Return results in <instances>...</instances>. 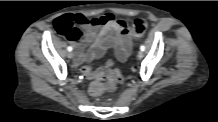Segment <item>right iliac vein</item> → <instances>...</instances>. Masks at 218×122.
I'll return each instance as SVG.
<instances>
[{"label": "right iliac vein", "instance_id": "obj_1", "mask_svg": "<svg viewBox=\"0 0 218 122\" xmlns=\"http://www.w3.org/2000/svg\"><path fill=\"white\" fill-rule=\"evenodd\" d=\"M67 56H68L69 59H72L73 56H74V54H73V52H69V53L67 54Z\"/></svg>", "mask_w": 218, "mask_h": 122}]
</instances>
